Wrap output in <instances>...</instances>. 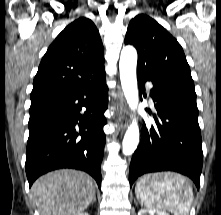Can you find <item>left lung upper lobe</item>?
Segmentation results:
<instances>
[{
	"mask_svg": "<svg viewBox=\"0 0 221 215\" xmlns=\"http://www.w3.org/2000/svg\"><path fill=\"white\" fill-rule=\"evenodd\" d=\"M125 44L137 49V74L185 89L196 96L181 45L154 19L144 14L135 16L129 23Z\"/></svg>",
	"mask_w": 221,
	"mask_h": 215,
	"instance_id": "obj_1",
	"label": "left lung upper lobe"
}]
</instances>
